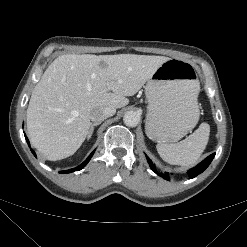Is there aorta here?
I'll list each match as a JSON object with an SVG mask.
<instances>
[{
    "label": "aorta",
    "mask_w": 247,
    "mask_h": 247,
    "mask_svg": "<svg viewBox=\"0 0 247 247\" xmlns=\"http://www.w3.org/2000/svg\"><path fill=\"white\" fill-rule=\"evenodd\" d=\"M123 121L128 127H135L140 122V115L135 111H128L123 117Z\"/></svg>",
    "instance_id": "obj_1"
}]
</instances>
